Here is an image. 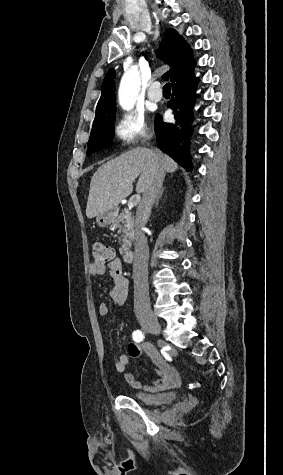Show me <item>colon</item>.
I'll list each match as a JSON object with an SVG mask.
<instances>
[{"label": "colon", "instance_id": "1", "mask_svg": "<svg viewBox=\"0 0 283 475\" xmlns=\"http://www.w3.org/2000/svg\"><path fill=\"white\" fill-rule=\"evenodd\" d=\"M91 254L94 259V265L96 267L112 264L115 252L112 248L103 245L100 242H95L91 246Z\"/></svg>", "mask_w": 283, "mask_h": 475}]
</instances>
